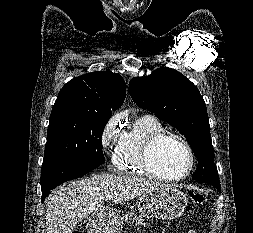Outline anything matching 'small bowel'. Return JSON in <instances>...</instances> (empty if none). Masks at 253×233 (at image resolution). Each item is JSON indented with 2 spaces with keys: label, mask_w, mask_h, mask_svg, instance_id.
Wrapping results in <instances>:
<instances>
[{
  "label": "small bowel",
  "mask_w": 253,
  "mask_h": 233,
  "mask_svg": "<svg viewBox=\"0 0 253 233\" xmlns=\"http://www.w3.org/2000/svg\"><path fill=\"white\" fill-rule=\"evenodd\" d=\"M188 233H195V231H189Z\"/></svg>",
  "instance_id": "c3829d8e"
}]
</instances>
